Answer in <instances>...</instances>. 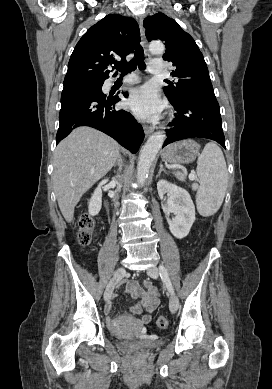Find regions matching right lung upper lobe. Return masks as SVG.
Listing matches in <instances>:
<instances>
[{
  "mask_svg": "<svg viewBox=\"0 0 272 389\" xmlns=\"http://www.w3.org/2000/svg\"><path fill=\"white\" fill-rule=\"evenodd\" d=\"M139 42V26L133 18L107 15L90 27L74 48L64 87L104 81L109 78L107 67L124 63Z\"/></svg>",
  "mask_w": 272,
  "mask_h": 389,
  "instance_id": "right-lung-upper-lobe-1",
  "label": "right lung upper lobe"
}]
</instances>
